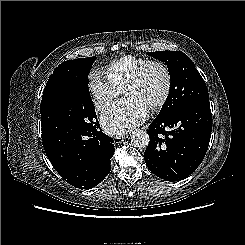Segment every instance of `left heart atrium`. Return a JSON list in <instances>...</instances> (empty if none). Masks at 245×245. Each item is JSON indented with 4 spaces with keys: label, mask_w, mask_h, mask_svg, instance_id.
Masks as SVG:
<instances>
[{
    "label": "left heart atrium",
    "mask_w": 245,
    "mask_h": 245,
    "mask_svg": "<svg viewBox=\"0 0 245 245\" xmlns=\"http://www.w3.org/2000/svg\"><path fill=\"white\" fill-rule=\"evenodd\" d=\"M149 107L135 97H128L111 105L101 116L103 128L110 134H123L142 123Z\"/></svg>",
    "instance_id": "obj_1"
}]
</instances>
